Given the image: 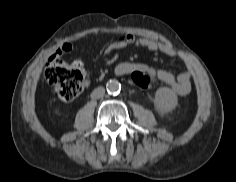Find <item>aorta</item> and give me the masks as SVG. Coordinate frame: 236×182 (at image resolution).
I'll return each mask as SVG.
<instances>
[{
    "mask_svg": "<svg viewBox=\"0 0 236 182\" xmlns=\"http://www.w3.org/2000/svg\"><path fill=\"white\" fill-rule=\"evenodd\" d=\"M106 89L108 93L110 94H116L119 93L121 90V84L117 80H110L106 84Z\"/></svg>",
    "mask_w": 236,
    "mask_h": 182,
    "instance_id": "762f6f07",
    "label": "aorta"
}]
</instances>
